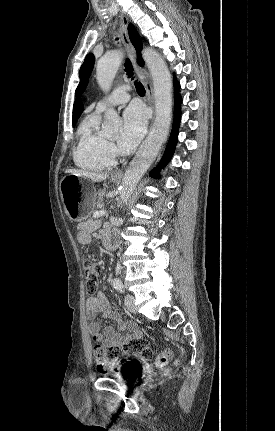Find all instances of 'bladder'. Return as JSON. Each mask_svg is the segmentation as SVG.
Masks as SVG:
<instances>
[{
	"instance_id": "obj_1",
	"label": "bladder",
	"mask_w": 275,
	"mask_h": 431,
	"mask_svg": "<svg viewBox=\"0 0 275 431\" xmlns=\"http://www.w3.org/2000/svg\"><path fill=\"white\" fill-rule=\"evenodd\" d=\"M105 375H110L118 380L125 381L126 380V372L123 370H116L113 372L106 373Z\"/></svg>"
}]
</instances>
